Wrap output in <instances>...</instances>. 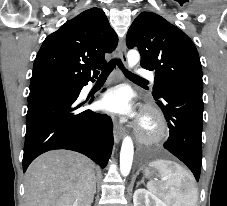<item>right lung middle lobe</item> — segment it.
Instances as JSON below:
<instances>
[{"label":"right lung middle lobe","instance_id":"dd1d6c3e","mask_svg":"<svg viewBox=\"0 0 227 206\" xmlns=\"http://www.w3.org/2000/svg\"><path fill=\"white\" fill-rule=\"evenodd\" d=\"M81 91V84L62 80H43L30 84L28 101L43 96H70Z\"/></svg>","mask_w":227,"mask_h":206}]
</instances>
